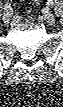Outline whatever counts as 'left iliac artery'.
I'll list each match as a JSON object with an SVG mask.
<instances>
[{"label":"left iliac artery","mask_w":63,"mask_h":107,"mask_svg":"<svg viewBox=\"0 0 63 107\" xmlns=\"http://www.w3.org/2000/svg\"><path fill=\"white\" fill-rule=\"evenodd\" d=\"M53 4H54V2H53L52 0H48V2H47V5H48V6L51 7V6H53Z\"/></svg>","instance_id":"1"}]
</instances>
